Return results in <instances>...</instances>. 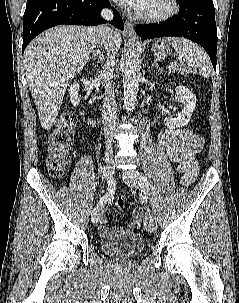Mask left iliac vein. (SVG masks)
I'll use <instances>...</instances> for the list:
<instances>
[{"label":"left iliac vein","mask_w":239,"mask_h":303,"mask_svg":"<svg viewBox=\"0 0 239 303\" xmlns=\"http://www.w3.org/2000/svg\"><path fill=\"white\" fill-rule=\"evenodd\" d=\"M137 171L135 170H126L121 173L123 180L125 183L133 188V189H138V179L136 177ZM144 226L149 232H154L157 227L156 220L154 216L151 213H147L145 218H144Z\"/></svg>","instance_id":"1"}]
</instances>
